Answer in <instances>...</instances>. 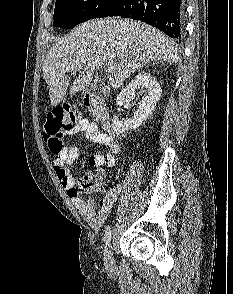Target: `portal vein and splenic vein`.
Here are the masks:
<instances>
[{"label":"portal vein and splenic vein","mask_w":233,"mask_h":294,"mask_svg":"<svg viewBox=\"0 0 233 294\" xmlns=\"http://www.w3.org/2000/svg\"><path fill=\"white\" fill-rule=\"evenodd\" d=\"M78 69H81V66H78ZM113 70H114V67H113V66H108L107 69H106V71H107L108 73H110V72L113 71Z\"/></svg>","instance_id":"obj_1"}]
</instances>
